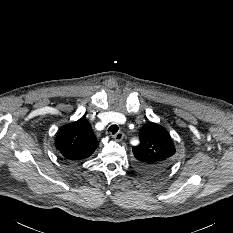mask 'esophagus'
Returning <instances> with one entry per match:
<instances>
[{
  "mask_svg": "<svg viewBox=\"0 0 233 233\" xmlns=\"http://www.w3.org/2000/svg\"><path fill=\"white\" fill-rule=\"evenodd\" d=\"M116 141H121L124 138L123 132H117L112 136Z\"/></svg>",
  "mask_w": 233,
  "mask_h": 233,
  "instance_id": "obj_1",
  "label": "esophagus"
}]
</instances>
